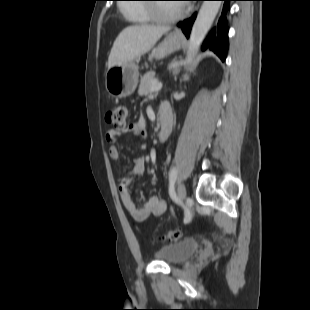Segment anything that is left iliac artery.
<instances>
[{
	"label": "left iliac artery",
	"instance_id": "1",
	"mask_svg": "<svg viewBox=\"0 0 310 310\" xmlns=\"http://www.w3.org/2000/svg\"><path fill=\"white\" fill-rule=\"evenodd\" d=\"M177 179V170L175 167L171 168L170 172H169V195L171 197V199L178 204L179 206L182 207L183 211H184V219L183 222L184 224L189 223L192 220V213L189 210V208H187L177 197L175 191H174V185Z\"/></svg>",
	"mask_w": 310,
	"mask_h": 310
}]
</instances>
